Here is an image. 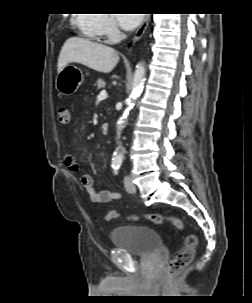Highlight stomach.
<instances>
[{
	"mask_svg": "<svg viewBox=\"0 0 252 303\" xmlns=\"http://www.w3.org/2000/svg\"><path fill=\"white\" fill-rule=\"evenodd\" d=\"M83 80L81 69L73 65H66L57 74L55 86L60 94L69 96L77 91Z\"/></svg>",
	"mask_w": 252,
	"mask_h": 303,
	"instance_id": "obj_1",
	"label": "stomach"
}]
</instances>
